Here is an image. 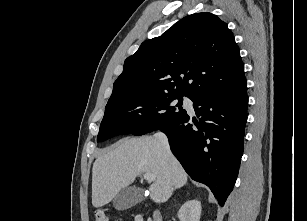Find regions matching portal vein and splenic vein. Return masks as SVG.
<instances>
[{
	"mask_svg": "<svg viewBox=\"0 0 307 221\" xmlns=\"http://www.w3.org/2000/svg\"><path fill=\"white\" fill-rule=\"evenodd\" d=\"M144 179H146L148 181H154L155 180V176L153 174H150V173H145L144 174Z\"/></svg>",
	"mask_w": 307,
	"mask_h": 221,
	"instance_id": "18ae733b",
	"label": "portal vein and splenic vein"
}]
</instances>
